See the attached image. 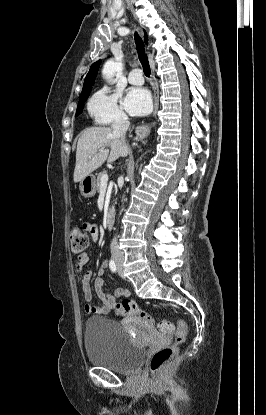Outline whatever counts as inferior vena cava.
I'll return each mask as SVG.
<instances>
[{
  "mask_svg": "<svg viewBox=\"0 0 266 415\" xmlns=\"http://www.w3.org/2000/svg\"><path fill=\"white\" fill-rule=\"evenodd\" d=\"M130 125V122L128 121V118L125 114L119 115L113 125V134L117 137H119L121 140L124 141L126 131L128 130ZM110 250H111V256L113 258H122L123 253L119 249V245L117 242V237H114L110 244Z\"/></svg>",
  "mask_w": 266,
  "mask_h": 415,
  "instance_id": "inferior-vena-cava-1",
  "label": "inferior vena cava"
}]
</instances>
